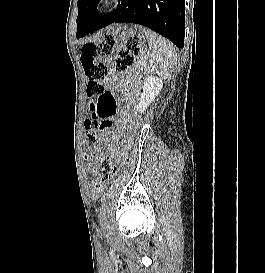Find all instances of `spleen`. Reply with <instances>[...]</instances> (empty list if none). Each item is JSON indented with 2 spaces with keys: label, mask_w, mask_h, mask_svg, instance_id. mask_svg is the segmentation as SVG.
<instances>
[{
  "label": "spleen",
  "mask_w": 265,
  "mask_h": 273,
  "mask_svg": "<svg viewBox=\"0 0 265 273\" xmlns=\"http://www.w3.org/2000/svg\"><path fill=\"white\" fill-rule=\"evenodd\" d=\"M142 32L145 34L149 50L155 59L153 70L162 78H167L177 63L176 49L170 41L150 29L143 28Z\"/></svg>",
  "instance_id": "3e777b00"
}]
</instances>
